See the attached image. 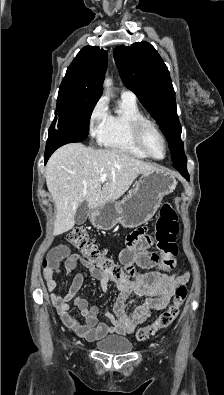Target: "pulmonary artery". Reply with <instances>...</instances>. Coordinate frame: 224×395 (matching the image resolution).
Here are the masks:
<instances>
[{
    "instance_id": "pulmonary-artery-1",
    "label": "pulmonary artery",
    "mask_w": 224,
    "mask_h": 395,
    "mask_svg": "<svg viewBox=\"0 0 224 395\" xmlns=\"http://www.w3.org/2000/svg\"><path fill=\"white\" fill-rule=\"evenodd\" d=\"M121 97L125 98V99H128V100H131V101H136V99H137L136 95L132 91H130L128 89H123L121 91Z\"/></svg>"
}]
</instances>
